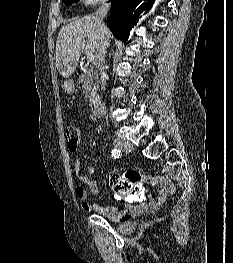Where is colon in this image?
Segmentation results:
<instances>
[{"instance_id": "5ec220e1", "label": "colon", "mask_w": 233, "mask_h": 263, "mask_svg": "<svg viewBox=\"0 0 233 263\" xmlns=\"http://www.w3.org/2000/svg\"><path fill=\"white\" fill-rule=\"evenodd\" d=\"M66 136L68 139V148L71 152H75L82 140L83 131L77 123L69 125L66 129ZM117 175H111L110 181L113 190L130 200L147 199L150 194L149 190H143L140 176H144V171H137L136 169H118Z\"/></svg>"}]
</instances>
